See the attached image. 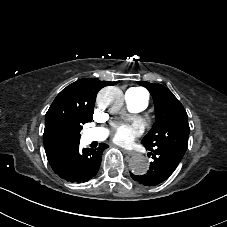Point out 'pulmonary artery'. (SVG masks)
<instances>
[{"label":"pulmonary artery","instance_id":"obj_1","mask_svg":"<svg viewBox=\"0 0 227 227\" xmlns=\"http://www.w3.org/2000/svg\"><path fill=\"white\" fill-rule=\"evenodd\" d=\"M149 97V90L144 86H139L137 88H132L125 93V102L129 108L139 111L147 107ZM84 137L89 142L104 141L107 137V129L103 127H94L85 132Z\"/></svg>","mask_w":227,"mask_h":227}]
</instances>
